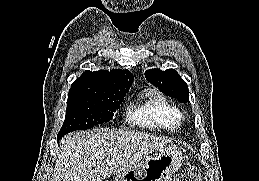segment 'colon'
Segmentation results:
<instances>
[{"label":"colon","mask_w":259,"mask_h":181,"mask_svg":"<svg viewBox=\"0 0 259 181\" xmlns=\"http://www.w3.org/2000/svg\"><path fill=\"white\" fill-rule=\"evenodd\" d=\"M174 181H200V170L197 166H190L178 174Z\"/></svg>","instance_id":"obj_1"}]
</instances>
